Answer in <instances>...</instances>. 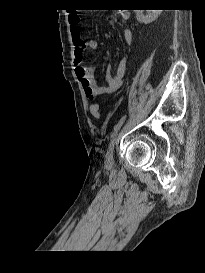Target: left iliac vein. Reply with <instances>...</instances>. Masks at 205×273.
I'll list each match as a JSON object with an SVG mask.
<instances>
[{
  "label": "left iliac vein",
  "mask_w": 205,
  "mask_h": 273,
  "mask_svg": "<svg viewBox=\"0 0 205 273\" xmlns=\"http://www.w3.org/2000/svg\"><path fill=\"white\" fill-rule=\"evenodd\" d=\"M118 135H119V131L116 132L114 138L111 140V142L109 144L108 151H107V154H106V161L108 163H111L113 161L114 147H115V144L117 142Z\"/></svg>",
  "instance_id": "4c4485c4"
}]
</instances>
